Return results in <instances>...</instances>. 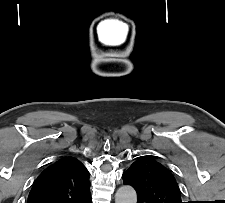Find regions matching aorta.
Segmentation results:
<instances>
[{
    "instance_id": "762f6f07",
    "label": "aorta",
    "mask_w": 225,
    "mask_h": 203,
    "mask_svg": "<svg viewBox=\"0 0 225 203\" xmlns=\"http://www.w3.org/2000/svg\"><path fill=\"white\" fill-rule=\"evenodd\" d=\"M115 203H137V194L133 187L121 186L115 195Z\"/></svg>"
}]
</instances>
